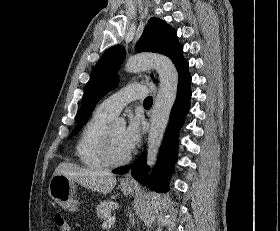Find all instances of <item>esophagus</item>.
<instances>
[{
  "label": "esophagus",
  "mask_w": 280,
  "mask_h": 231,
  "mask_svg": "<svg viewBox=\"0 0 280 231\" xmlns=\"http://www.w3.org/2000/svg\"><path fill=\"white\" fill-rule=\"evenodd\" d=\"M123 180H124V181H131V180H132V177H131L130 174H127V175H125V176L123 177Z\"/></svg>",
  "instance_id": "1"
}]
</instances>
